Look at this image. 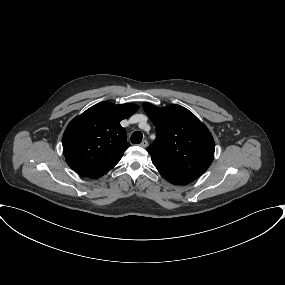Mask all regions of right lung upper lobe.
I'll use <instances>...</instances> for the list:
<instances>
[{
  "label": "right lung upper lobe",
  "instance_id": "1",
  "mask_svg": "<svg viewBox=\"0 0 285 285\" xmlns=\"http://www.w3.org/2000/svg\"><path fill=\"white\" fill-rule=\"evenodd\" d=\"M138 105L100 102L75 117L63 135L67 164L84 177L97 179L111 170L130 146L120 121L133 115Z\"/></svg>",
  "mask_w": 285,
  "mask_h": 285
}]
</instances>
